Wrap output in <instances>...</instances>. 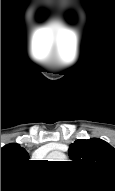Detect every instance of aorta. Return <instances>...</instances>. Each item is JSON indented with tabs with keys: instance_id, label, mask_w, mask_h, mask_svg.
<instances>
[{
	"instance_id": "1",
	"label": "aorta",
	"mask_w": 115,
	"mask_h": 191,
	"mask_svg": "<svg viewBox=\"0 0 115 191\" xmlns=\"http://www.w3.org/2000/svg\"><path fill=\"white\" fill-rule=\"evenodd\" d=\"M50 158L52 161H62L66 158V156L61 152H54L51 154Z\"/></svg>"
}]
</instances>
